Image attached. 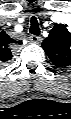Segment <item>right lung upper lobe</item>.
<instances>
[{
    "mask_svg": "<svg viewBox=\"0 0 71 119\" xmlns=\"http://www.w3.org/2000/svg\"><path fill=\"white\" fill-rule=\"evenodd\" d=\"M12 43L21 42L13 41L4 31H2L0 33V61L5 62L12 59L13 55L9 48Z\"/></svg>",
    "mask_w": 71,
    "mask_h": 119,
    "instance_id": "obj_1",
    "label": "right lung upper lobe"
}]
</instances>
